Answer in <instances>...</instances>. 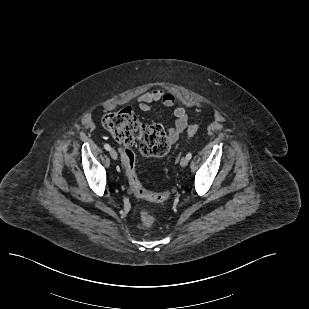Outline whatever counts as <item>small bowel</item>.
Returning <instances> with one entry per match:
<instances>
[{
    "instance_id": "obj_1",
    "label": "small bowel",
    "mask_w": 309,
    "mask_h": 309,
    "mask_svg": "<svg viewBox=\"0 0 309 309\" xmlns=\"http://www.w3.org/2000/svg\"><path fill=\"white\" fill-rule=\"evenodd\" d=\"M139 109L143 112H148L153 103H161L164 107L172 108V115L175 123L173 127L168 128L167 137L169 143H175L180 135L186 130L188 126V114L186 110L176 103L173 94L161 88L144 92L137 97Z\"/></svg>"
}]
</instances>
